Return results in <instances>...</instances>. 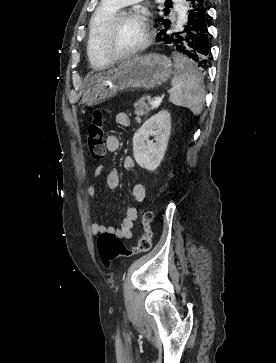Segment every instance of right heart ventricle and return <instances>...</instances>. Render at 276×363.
Masks as SVG:
<instances>
[{"label":"right heart ventricle","mask_w":276,"mask_h":363,"mask_svg":"<svg viewBox=\"0 0 276 363\" xmlns=\"http://www.w3.org/2000/svg\"><path fill=\"white\" fill-rule=\"evenodd\" d=\"M118 10L119 6L116 3L110 0H103L91 19L88 56L92 66L95 68H105L111 64V62L101 52L99 37L103 27L118 12Z\"/></svg>","instance_id":"obj_1"}]
</instances>
